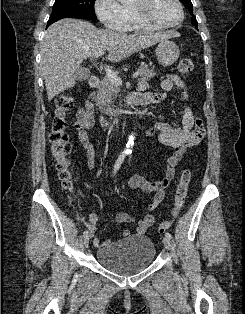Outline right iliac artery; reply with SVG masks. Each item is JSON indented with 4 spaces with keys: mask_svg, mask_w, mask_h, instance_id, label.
<instances>
[{
    "mask_svg": "<svg viewBox=\"0 0 245 314\" xmlns=\"http://www.w3.org/2000/svg\"><path fill=\"white\" fill-rule=\"evenodd\" d=\"M125 157H126V154H125V153H122V154L118 157V159H117V161H116V164H115V166H114L113 174H116V172H117L118 169L120 168L122 162L124 161ZM88 234H89V231H88V230H85L84 233H83V236L86 237V236H88Z\"/></svg>",
    "mask_w": 245,
    "mask_h": 314,
    "instance_id": "obj_1",
    "label": "right iliac artery"
}]
</instances>
